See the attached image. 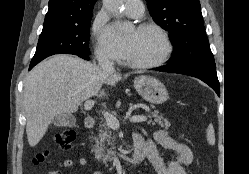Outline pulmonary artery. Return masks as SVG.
Wrapping results in <instances>:
<instances>
[{"label":"pulmonary artery","mask_w":249,"mask_h":174,"mask_svg":"<svg viewBox=\"0 0 249 174\" xmlns=\"http://www.w3.org/2000/svg\"><path fill=\"white\" fill-rule=\"evenodd\" d=\"M143 8V2L141 0H125L124 10L129 17H140L143 13Z\"/></svg>","instance_id":"1"}]
</instances>
